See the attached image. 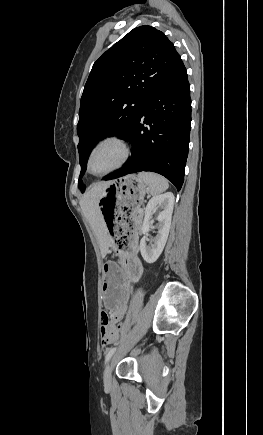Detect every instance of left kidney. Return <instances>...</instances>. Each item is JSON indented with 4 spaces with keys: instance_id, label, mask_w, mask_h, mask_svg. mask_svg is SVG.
I'll return each instance as SVG.
<instances>
[{
    "instance_id": "5707ae66",
    "label": "left kidney",
    "mask_w": 263,
    "mask_h": 435,
    "mask_svg": "<svg viewBox=\"0 0 263 435\" xmlns=\"http://www.w3.org/2000/svg\"><path fill=\"white\" fill-rule=\"evenodd\" d=\"M174 199L172 192L153 196L145 208V217L141 228V232L144 236L140 241V252L147 263H154L164 249L171 226ZM159 208H161L162 211L158 213L156 218L158 221V232L156 237L153 239V243L150 246H147L146 241L148 240L147 236L150 226L153 223V214Z\"/></svg>"
}]
</instances>
